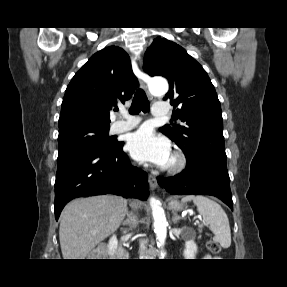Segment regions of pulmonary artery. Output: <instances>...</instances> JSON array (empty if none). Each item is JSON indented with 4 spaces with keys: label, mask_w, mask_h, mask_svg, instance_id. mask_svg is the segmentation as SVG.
Instances as JSON below:
<instances>
[{
    "label": "pulmonary artery",
    "mask_w": 287,
    "mask_h": 287,
    "mask_svg": "<svg viewBox=\"0 0 287 287\" xmlns=\"http://www.w3.org/2000/svg\"><path fill=\"white\" fill-rule=\"evenodd\" d=\"M169 110L166 104L162 103H155L152 108V114L158 117H164L168 115ZM121 115L123 116L124 120H118L113 123L112 131L114 133H121L124 131H128L136 127L141 119L136 116L128 115L126 112L122 111Z\"/></svg>",
    "instance_id": "pulmonary-artery-1"
}]
</instances>
